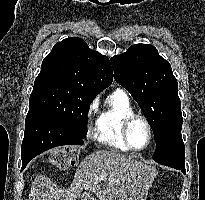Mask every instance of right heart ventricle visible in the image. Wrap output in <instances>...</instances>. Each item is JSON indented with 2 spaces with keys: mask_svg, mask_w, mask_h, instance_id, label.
<instances>
[{
  "mask_svg": "<svg viewBox=\"0 0 205 200\" xmlns=\"http://www.w3.org/2000/svg\"><path fill=\"white\" fill-rule=\"evenodd\" d=\"M134 113L128 95L120 89L115 90L106 99L99 112L96 121V139L112 148L129 151L130 148L122 137L121 128L124 119Z\"/></svg>",
  "mask_w": 205,
  "mask_h": 200,
  "instance_id": "e07e8e85",
  "label": "right heart ventricle"
}]
</instances>
